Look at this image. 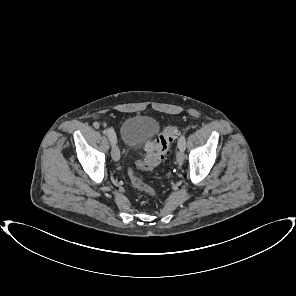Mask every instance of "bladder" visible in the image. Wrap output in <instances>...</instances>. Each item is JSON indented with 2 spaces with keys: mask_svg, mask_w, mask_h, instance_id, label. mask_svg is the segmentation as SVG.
<instances>
[{
  "mask_svg": "<svg viewBox=\"0 0 296 296\" xmlns=\"http://www.w3.org/2000/svg\"><path fill=\"white\" fill-rule=\"evenodd\" d=\"M159 130L158 122L149 116L133 115L125 119L120 134L128 148H135L152 138Z\"/></svg>",
  "mask_w": 296,
  "mask_h": 296,
  "instance_id": "bladder-1",
  "label": "bladder"
}]
</instances>
